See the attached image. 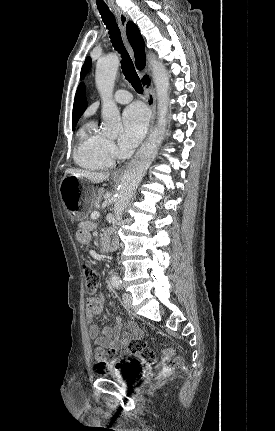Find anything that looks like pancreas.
<instances>
[{"mask_svg": "<svg viewBox=\"0 0 275 431\" xmlns=\"http://www.w3.org/2000/svg\"><path fill=\"white\" fill-rule=\"evenodd\" d=\"M103 193H104L103 189L98 190V195L94 201L95 206L98 205L100 203V201L102 200Z\"/></svg>", "mask_w": 275, "mask_h": 431, "instance_id": "1", "label": "pancreas"}]
</instances>
